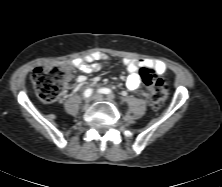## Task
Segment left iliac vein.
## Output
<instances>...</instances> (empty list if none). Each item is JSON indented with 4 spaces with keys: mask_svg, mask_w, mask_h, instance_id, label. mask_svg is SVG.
<instances>
[{
    "mask_svg": "<svg viewBox=\"0 0 222 187\" xmlns=\"http://www.w3.org/2000/svg\"><path fill=\"white\" fill-rule=\"evenodd\" d=\"M103 99H104V96L101 95V94H96V95H94V100L102 101Z\"/></svg>",
    "mask_w": 222,
    "mask_h": 187,
    "instance_id": "1",
    "label": "left iliac vein"
}]
</instances>
